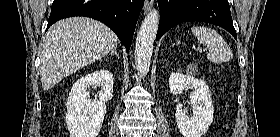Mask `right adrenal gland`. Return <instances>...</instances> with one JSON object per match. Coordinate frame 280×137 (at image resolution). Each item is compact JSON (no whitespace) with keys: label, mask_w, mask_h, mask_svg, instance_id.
<instances>
[{"label":"right adrenal gland","mask_w":280,"mask_h":137,"mask_svg":"<svg viewBox=\"0 0 280 137\" xmlns=\"http://www.w3.org/2000/svg\"><path fill=\"white\" fill-rule=\"evenodd\" d=\"M117 49L116 48H114L112 51H111V54H115L117 57L119 56V54L117 53V51H116Z\"/></svg>","instance_id":"1"}]
</instances>
